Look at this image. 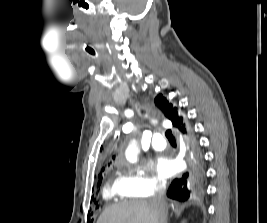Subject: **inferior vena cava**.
Wrapping results in <instances>:
<instances>
[{
    "label": "inferior vena cava",
    "instance_id": "obj_1",
    "mask_svg": "<svg viewBox=\"0 0 267 223\" xmlns=\"http://www.w3.org/2000/svg\"><path fill=\"white\" fill-rule=\"evenodd\" d=\"M165 189L166 185L164 183L158 184L155 193L151 199V203L160 212L159 223H166V218H167V203L165 199Z\"/></svg>",
    "mask_w": 267,
    "mask_h": 223
}]
</instances>
